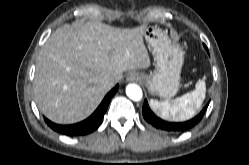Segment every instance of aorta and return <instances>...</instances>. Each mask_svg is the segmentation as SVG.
Masks as SVG:
<instances>
[{"label": "aorta", "mask_w": 249, "mask_h": 165, "mask_svg": "<svg viewBox=\"0 0 249 165\" xmlns=\"http://www.w3.org/2000/svg\"><path fill=\"white\" fill-rule=\"evenodd\" d=\"M126 95L133 101H140L143 97L142 89L137 84H128Z\"/></svg>", "instance_id": "obj_1"}]
</instances>
